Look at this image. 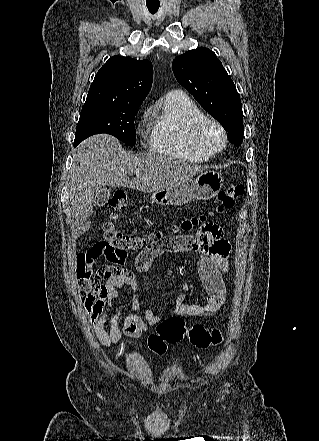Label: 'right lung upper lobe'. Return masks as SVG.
Listing matches in <instances>:
<instances>
[{
	"label": "right lung upper lobe",
	"mask_w": 319,
	"mask_h": 441,
	"mask_svg": "<svg viewBox=\"0 0 319 441\" xmlns=\"http://www.w3.org/2000/svg\"><path fill=\"white\" fill-rule=\"evenodd\" d=\"M152 80L150 61L113 56L97 72L85 103L141 105Z\"/></svg>",
	"instance_id": "right-lung-upper-lobe-1"
}]
</instances>
